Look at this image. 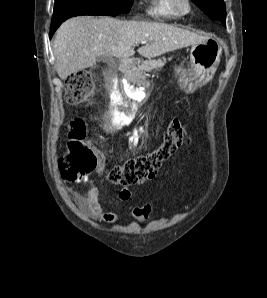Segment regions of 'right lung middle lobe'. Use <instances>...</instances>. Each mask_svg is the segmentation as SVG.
I'll return each instance as SVG.
<instances>
[{"instance_id":"right-lung-middle-lobe-1","label":"right lung middle lobe","mask_w":267,"mask_h":298,"mask_svg":"<svg viewBox=\"0 0 267 298\" xmlns=\"http://www.w3.org/2000/svg\"><path fill=\"white\" fill-rule=\"evenodd\" d=\"M132 4L133 0H55L52 23L78 15L127 14Z\"/></svg>"}]
</instances>
